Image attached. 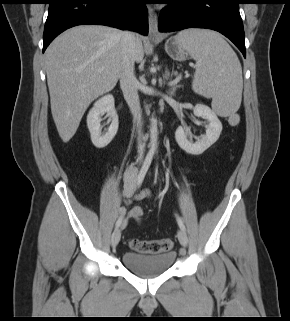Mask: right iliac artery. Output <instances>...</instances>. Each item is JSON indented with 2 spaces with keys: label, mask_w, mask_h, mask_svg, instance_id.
<instances>
[{
  "label": "right iliac artery",
  "mask_w": 290,
  "mask_h": 321,
  "mask_svg": "<svg viewBox=\"0 0 290 321\" xmlns=\"http://www.w3.org/2000/svg\"><path fill=\"white\" fill-rule=\"evenodd\" d=\"M152 159H153V152H148V154L146 155L145 160L143 162V165H142V167L137 175V178H136V183H137L138 188L140 187V185L142 184V182L145 178V175L151 165ZM124 213H125V211L121 212V216L118 218L116 225H115L116 228H118L121 225Z\"/></svg>",
  "instance_id": "82829eb1"
}]
</instances>
